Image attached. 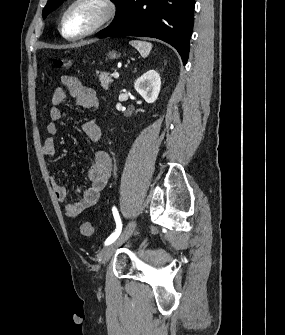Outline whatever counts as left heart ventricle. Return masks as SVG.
Returning <instances> with one entry per match:
<instances>
[{"mask_svg": "<svg viewBox=\"0 0 285 335\" xmlns=\"http://www.w3.org/2000/svg\"><path fill=\"white\" fill-rule=\"evenodd\" d=\"M103 14L104 11L102 8L95 5L84 4L74 10L73 21L81 28H87L97 22Z\"/></svg>", "mask_w": 285, "mask_h": 335, "instance_id": "obj_1", "label": "left heart ventricle"}]
</instances>
